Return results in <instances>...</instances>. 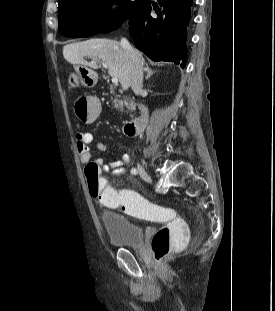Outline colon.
<instances>
[{
    "label": "colon",
    "mask_w": 275,
    "mask_h": 311,
    "mask_svg": "<svg viewBox=\"0 0 275 311\" xmlns=\"http://www.w3.org/2000/svg\"><path fill=\"white\" fill-rule=\"evenodd\" d=\"M74 110L83 125H94L100 115L99 97H79L74 100ZM89 193L111 206H121L126 212L144 218L158 219L164 224L152 237L151 247L157 263H161L172 251L186 243L187 225L172 208L159 207L138 196V190H114L110 179L99 175L98 166H86Z\"/></svg>",
    "instance_id": "5ec220e1"
}]
</instances>
